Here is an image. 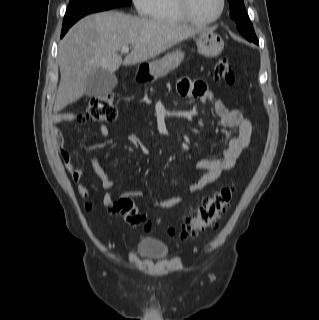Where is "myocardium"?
Returning a JSON list of instances; mask_svg holds the SVG:
<instances>
[{
    "instance_id": "1",
    "label": "myocardium",
    "mask_w": 319,
    "mask_h": 320,
    "mask_svg": "<svg viewBox=\"0 0 319 320\" xmlns=\"http://www.w3.org/2000/svg\"><path fill=\"white\" fill-rule=\"evenodd\" d=\"M176 2L180 13L183 15L186 21L195 25H209L218 22L222 18L226 9V0H220V8L218 14L211 19L202 20L198 19L193 14L190 0H176Z\"/></svg>"
}]
</instances>
